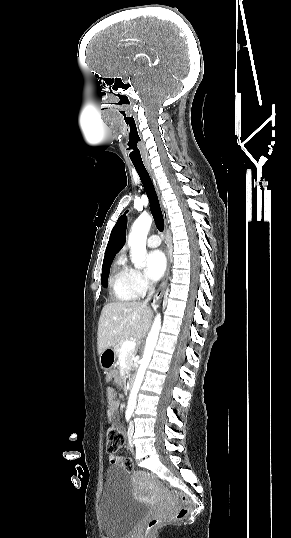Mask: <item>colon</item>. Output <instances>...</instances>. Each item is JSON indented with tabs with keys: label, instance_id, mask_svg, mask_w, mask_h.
<instances>
[{
	"label": "colon",
	"instance_id": "1",
	"mask_svg": "<svg viewBox=\"0 0 291 538\" xmlns=\"http://www.w3.org/2000/svg\"><path fill=\"white\" fill-rule=\"evenodd\" d=\"M106 442H107V450L110 453H115L118 451L121 446L124 444V436L119 427L111 426L108 428L106 433ZM120 466L127 470L132 471L134 468V463L130 458H123L119 462ZM180 500L182 502V505L170 516L171 520H180L183 519L185 516H187L191 510V506L189 501L184 498L180 497ZM164 522V519L159 517H153L151 518L146 527H145V535L149 537L152 535L157 528Z\"/></svg>",
	"mask_w": 291,
	"mask_h": 538
}]
</instances>
